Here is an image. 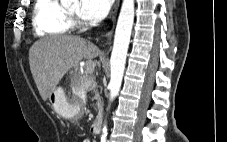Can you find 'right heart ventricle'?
<instances>
[{"label": "right heart ventricle", "mask_w": 227, "mask_h": 142, "mask_svg": "<svg viewBox=\"0 0 227 142\" xmlns=\"http://www.w3.org/2000/svg\"><path fill=\"white\" fill-rule=\"evenodd\" d=\"M32 26L39 37L67 34L73 28L59 0H35Z\"/></svg>", "instance_id": "1"}]
</instances>
